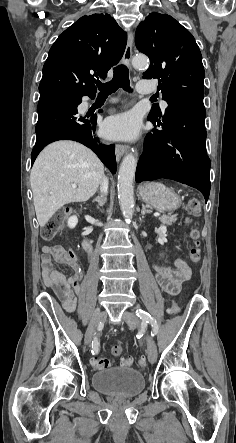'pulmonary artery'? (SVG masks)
Segmentation results:
<instances>
[{
    "label": "pulmonary artery",
    "mask_w": 236,
    "mask_h": 443,
    "mask_svg": "<svg viewBox=\"0 0 236 443\" xmlns=\"http://www.w3.org/2000/svg\"><path fill=\"white\" fill-rule=\"evenodd\" d=\"M137 91L141 94H148L153 91V89L149 86V83L146 81H139L137 83ZM162 107L165 109L167 107V103L162 101Z\"/></svg>",
    "instance_id": "pulmonary-artery-1"
}]
</instances>
